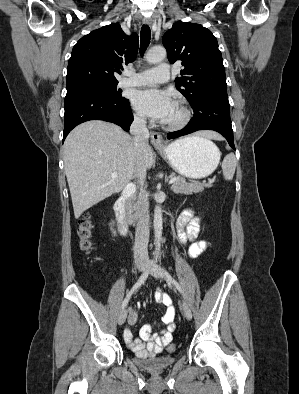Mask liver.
<instances>
[{
    "label": "liver",
    "instance_id": "liver-1",
    "mask_svg": "<svg viewBox=\"0 0 299 394\" xmlns=\"http://www.w3.org/2000/svg\"><path fill=\"white\" fill-rule=\"evenodd\" d=\"M198 136L220 138L212 131ZM63 161L74 215L79 218L93 205L122 191L137 177L140 166L150 169L153 151L147 145L139 157L133 138L119 126L91 120L69 133L63 145ZM114 172L117 177L112 176Z\"/></svg>",
    "mask_w": 299,
    "mask_h": 394
}]
</instances>
